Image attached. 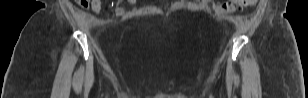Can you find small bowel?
Here are the masks:
<instances>
[{
  "instance_id": "1",
  "label": "small bowel",
  "mask_w": 308,
  "mask_h": 98,
  "mask_svg": "<svg viewBox=\"0 0 308 98\" xmlns=\"http://www.w3.org/2000/svg\"><path fill=\"white\" fill-rule=\"evenodd\" d=\"M130 2L132 4H137L136 0H130ZM197 2L201 3L203 1H197ZM89 5L91 6L92 11L94 12V14L99 16L100 13H101V2H100V0H91V1L89 0V2L85 6H83V7L87 8Z\"/></svg>"
}]
</instances>
